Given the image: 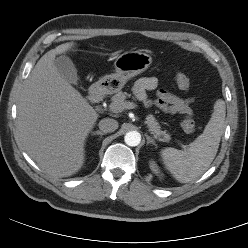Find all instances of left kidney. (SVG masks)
Masks as SVG:
<instances>
[{"label": "left kidney", "instance_id": "1", "mask_svg": "<svg viewBox=\"0 0 248 248\" xmlns=\"http://www.w3.org/2000/svg\"><path fill=\"white\" fill-rule=\"evenodd\" d=\"M150 167H151V169H152V171H153L154 173H156V174L159 173L158 168H157V166H156V164H155L154 162H151V163H150Z\"/></svg>", "mask_w": 248, "mask_h": 248}]
</instances>
